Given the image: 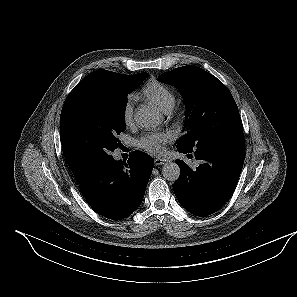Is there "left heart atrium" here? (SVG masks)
Returning a JSON list of instances; mask_svg holds the SVG:
<instances>
[{
    "instance_id": "1",
    "label": "left heart atrium",
    "mask_w": 297,
    "mask_h": 297,
    "mask_svg": "<svg viewBox=\"0 0 297 297\" xmlns=\"http://www.w3.org/2000/svg\"><path fill=\"white\" fill-rule=\"evenodd\" d=\"M172 139L167 131H149L138 139V146L147 152L161 154L164 146Z\"/></svg>"
}]
</instances>
